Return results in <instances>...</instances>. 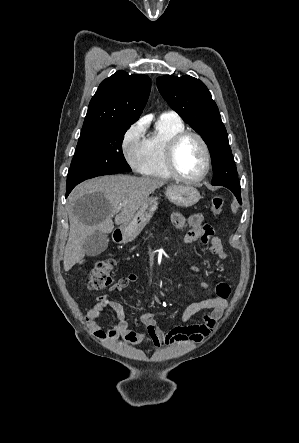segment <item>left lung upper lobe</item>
<instances>
[{
	"mask_svg": "<svg viewBox=\"0 0 299 443\" xmlns=\"http://www.w3.org/2000/svg\"><path fill=\"white\" fill-rule=\"evenodd\" d=\"M156 82L159 92L169 106L200 134L207 144L214 173L212 185L240 188L225 126L204 83L188 75L161 76Z\"/></svg>",
	"mask_w": 299,
	"mask_h": 443,
	"instance_id": "obj_1",
	"label": "left lung upper lobe"
}]
</instances>
